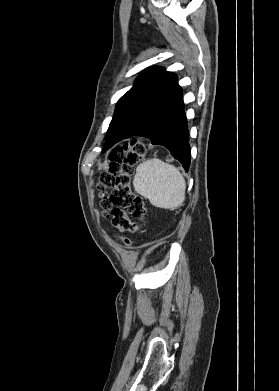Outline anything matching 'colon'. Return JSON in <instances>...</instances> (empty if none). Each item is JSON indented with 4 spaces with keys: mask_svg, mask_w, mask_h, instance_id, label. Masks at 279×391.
<instances>
[{
    "mask_svg": "<svg viewBox=\"0 0 279 391\" xmlns=\"http://www.w3.org/2000/svg\"><path fill=\"white\" fill-rule=\"evenodd\" d=\"M144 143L132 140L115 148L99 181L101 209L119 232L140 233L147 214L144 200L131 189L135 166L145 157ZM111 191L108 193L107 189ZM128 213L131 217L128 216ZM126 245L128 239H122Z\"/></svg>",
    "mask_w": 279,
    "mask_h": 391,
    "instance_id": "5ec220e1",
    "label": "colon"
}]
</instances>
